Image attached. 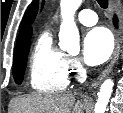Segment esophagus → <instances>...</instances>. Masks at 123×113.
<instances>
[{"instance_id":"34e87169","label":"esophagus","mask_w":123,"mask_h":113,"mask_svg":"<svg viewBox=\"0 0 123 113\" xmlns=\"http://www.w3.org/2000/svg\"><path fill=\"white\" fill-rule=\"evenodd\" d=\"M114 5H115V2L111 0L110 8H113ZM119 51H120V38L117 37L115 49H114L110 64L103 70V72L98 76V78L92 82L90 86L91 89L96 88L100 84V82L106 77V75L111 71L112 67L114 66V64L116 63L119 57Z\"/></svg>"}]
</instances>
